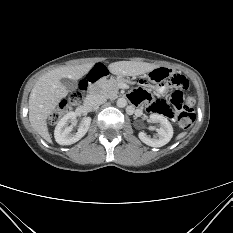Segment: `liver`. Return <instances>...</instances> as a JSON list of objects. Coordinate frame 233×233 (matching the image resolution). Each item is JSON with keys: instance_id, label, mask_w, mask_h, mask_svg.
<instances>
[{"instance_id": "liver-1", "label": "liver", "mask_w": 233, "mask_h": 233, "mask_svg": "<svg viewBox=\"0 0 233 233\" xmlns=\"http://www.w3.org/2000/svg\"><path fill=\"white\" fill-rule=\"evenodd\" d=\"M93 66V63H87L60 67L42 75L35 83L29 96V121L33 129L47 142L52 143L46 120L68 94V90L60 80L62 78L78 80ZM157 67V65L144 62L119 61L111 63L108 69L114 75L138 76Z\"/></svg>"}]
</instances>
